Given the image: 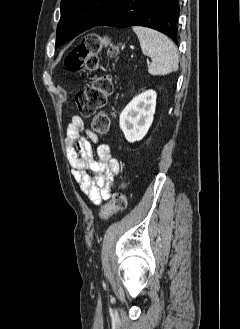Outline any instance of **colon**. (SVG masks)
Wrapping results in <instances>:
<instances>
[{
	"label": "colon",
	"instance_id": "obj_1",
	"mask_svg": "<svg viewBox=\"0 0 240 329\" xmlns=\"http://www.w3.org/2000/svg\"><path fill=\"white\" fill-rule=\"evenodd\" d=\"M106 44V39L98 34H87L81 42L75 46L66 56L64 64L68 71L82 72L84 70L96 71L99 68L97 54ZM115 50L116 48L113 47ZM113 89L112 81L108 76L95 77L92 82L75 97L76 110L83 117H90L107 105L108 96ZM111 115L101 112L94 116L92 129L97 134L107 132L110 125ZM127 183H122L119 190L115 191L109 202L105 204L99 213L101 219H107L113 214L122 211L127 206L126 196Z\"/></svg>",
	"mask_w": 240,
	"mask_h": 329
}]
</instances>
